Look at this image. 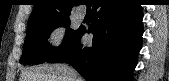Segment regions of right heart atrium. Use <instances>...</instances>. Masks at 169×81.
<instances>
[{
    "mask_svg": "<svg viewBox=\"0 0 169 81\" xmlns=\"http://www.w3.org/2000/svg\"><path fill=\"white\" fill-rule=\"evenodd\" d=\"M66 38V26L62 23L55 24L48 31L47 39L51 48L59 49L63 46Z\"/></svg>",
    "mask_w": 169,
    "mask_h": 81,
    "instance_id": "1",
    "label": "right heart atrium"
}]
</instances>
